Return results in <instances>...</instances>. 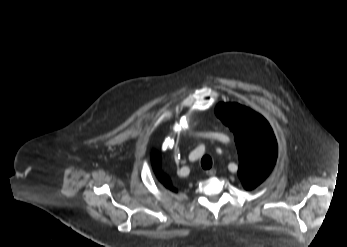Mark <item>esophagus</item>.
Returning a JSON list of instances; mask_svg holds the SVG:
<instances>
[{
	"instance_id": "34e87169",
	"label": "esophagus",
	"mask_w": 347,
	"mask_h": 247,
	"mask_svg": "<svg viewBox=\"0 0 347 247\" xmlns=\"http://www.w3.org/2000/svg\"><path fill=\"white\" fill-rule=\"evenodd\" d=\"M206 174L208 176H214L216 174V170L215 169H210L206 171Z\"/></svg>"
}]
</instances>
